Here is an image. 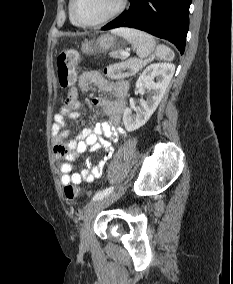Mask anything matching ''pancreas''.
I'll list each match as a JSON object with an SVG mask.
<instances>
[{
    "label": "pancreas",
    "mask_w": 233,
    "mask_h": 284,
    "mask_svg": "<svg viewBox=\"0 0 233 284\" xmlns=\"http://www.w3.org/2000/svg\"><path fill=\"white\" fill-rule=\"evenodd\" d=\"M122 52H123L122 50H118V51L111 52L109 55L110 57H113V58L123 59L124 56L122 55ZM124 64L131 69L132 73H134L138 71L140 68H142L145 62L139 61L137 59H130Z\"/></svg>",
    "instance_id": "cf45deb5"
}]
</instances>
